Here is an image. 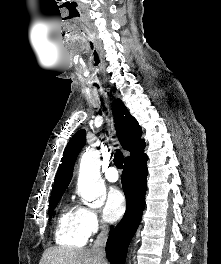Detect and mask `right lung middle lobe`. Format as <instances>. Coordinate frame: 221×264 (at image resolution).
Here are the masks:
<instances>
[{"mask_svg": "<svg viewBox=\"0 0 221 264\" xmlns=\"http://www.w3.org/2000/svg\"><path fill=\"white\" fill-rule=\"evenodd\" d=\"M62 195L63 194H60V195H58V196L50 199V202H49V206H50V215H49V218L50 219H51V217L53 215V209L58 204V201L61 199Z\"/></svg>", "mask_w": 221, "mask_h": 264, "instance_id": "obj_1", "label": "right lung middle lobe"}]
</instances>
